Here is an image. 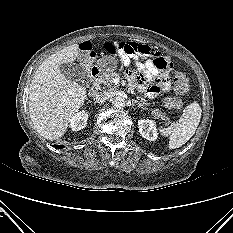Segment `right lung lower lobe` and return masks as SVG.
Listing matches in <instances>:
<instances>
[{"label":"right lung lower lobe","instance_id":"right-lung-lower-lobe-1","mask_svg":"<svg viewBox=\"0 0 233 233\" xmlns=\"http://www.w3.org/2000/svg\"><path fill=\"white\" fill-rule=\"evenodd\" d=\"M54 147H56V148H62L63 147V145H53Z\"/></svg>","mask_w":233,"mask_h":233}]
</instances>
